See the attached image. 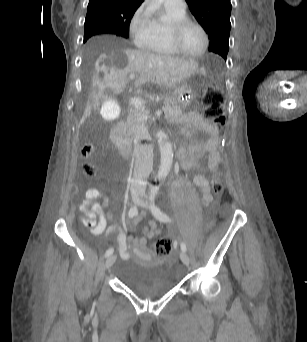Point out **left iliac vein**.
Wrapping results in <instances>:
<instances>
[{
  "label": "left iliac vein",
  "mask_w": 307,
  "mask_h": 342,
  "mask_svg": "<svg viewBox=\"0 0 307 342\" xmlns=\"http://www.w3.org/2000/svg\"><path fill=\"white\" fill-rule=\"evenodd\" d=\"M139 205H140L141 207L145 208V209L148 208V203H147L146 200H144V199H140ZM180 259H181V261L183 262V264H185V265H187V266L189 265L190 258H189V256L187 255L186 252H184V251H181V252H180Z\"/></svg>",
  "instance_id": "left-iliac-vein-1"
}]
</instances>
